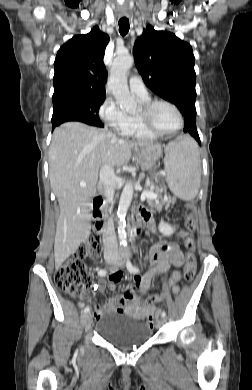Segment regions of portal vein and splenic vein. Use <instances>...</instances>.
Returning a JSON list of instances; mask_svg holds the SVG:
<instances>
[{
  "mask_svg": "<svg viewBox=\"0 0 252 390\" xmlns=\"http://www.w3.org/2000/svg\"><path fill=\"white\" fill-rule=\"evenodd\" d=\"M148 185V184H147ZM80 186L81 187H85L86 186V183L85 182H81L80 183ZM156 198V194H154V193H149V192H147V191H144L143 193H142V195H141V199H145V198Z\"/></svg>",
  "mask_w": 252,
  "mask_h": 390,
  "instance_id": "18ae733b",
  "label": "portal vein and splenic vein"
}]
</instances>
